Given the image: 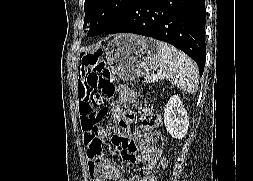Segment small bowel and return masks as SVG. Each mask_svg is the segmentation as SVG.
Listing matches in <instances>:
<instances>
[{
  "label": "small bowel",
  "mask_w": 253,
  "mask_h": 181,
  "mask_svg": "<svg viewBox=\"0 0 253 181\" xmlns=\"http://www.w3.org/2000/svg\"><path fill=\"white\" fill-rule=\"evenodd\" d=\"M87 71L80 67L78 70V110L81 118L87 113V104L85 103L87 96L86 85ZM132 104L135 108H142V103L138 100L135 91L121 86L118 90V97L111 109V116L116 122L114 136L112 139L113 146L121 151V154L130 163H141L142 174L133 175L129 180L124 178L121 169H119L112 161L104 160L102 157L95 160L91 157L88 147V169L94 179H109L111 181H146L145 176L151 175L158 164L166 165V158L162 149L156 144L151 132L146 128H139L137 136L130 134V124L134 120V114L124 111L117 104ZM97 130H103V133H111L109 125H97ZM86 132L84 131V136ZM102 146V144H101Z\"/></svg>",
  "instance_id": "small-bowel-1"
}]
</instances>
